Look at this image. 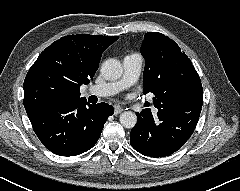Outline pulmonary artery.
Returning a JSON list of instances; mask_svg holds the SVG:
<instances>
[{
    "label": "pulmonary artery",
    "instance_id": "e3ab8cb5",
    "mask_svg": "<svg viewBox=\"0 0 240 191\" xmlns=\"http://www.w3.org/2000/svg\"><path fill=\"white\" fill-rule=\"evenodd\" d=\"M143 59L138 53L128 54L123 58V74L120 79L112 82L93 85L89 93L99 96H112L133 85L139 78Z\"/></svg>",
    "mask_w": 240,
    "mask_h": 191
}]
</instances>
